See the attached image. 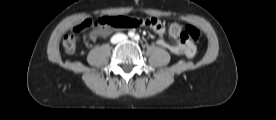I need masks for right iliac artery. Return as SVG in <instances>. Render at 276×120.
I'll return each instance as SVG.
<instances>
[{"label": "right iliac artery", "instance_id": "1", "mask_svg": "<svg viewBox=\"0 0 276 120\" xmlns=\"http://www.w3.org/2000/svg\"><path fill=\"white\" fill-rule=\"evenodd\" d=\"M128 35H129V37H133L134 36V32L130 31V32H128Z\"/></svg>", "mask_w": 276, "mask_h": 120}]
</instances>
